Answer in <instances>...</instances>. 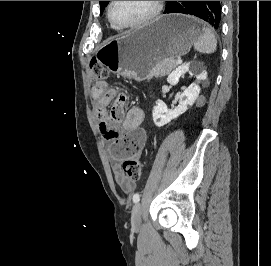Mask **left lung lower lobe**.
<instances>
[{"label":"left lung lower lobe","instance_id":"0a47b994","mask_svg":"<svg viewBox=\"0 0 271 266\" xmlns=\"http://www.w3.org/2000/svg\"><path fill=\"white\" fill-rule=\"evenodd\" d=\"M166 13L194 15L207 21L216 30L220 27V1H169L165 7L164 14Z\"/></svg>","mask_w":271,"mask_h":266}]
</instances>
